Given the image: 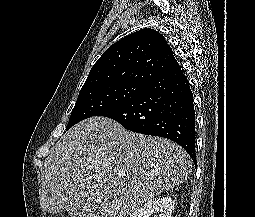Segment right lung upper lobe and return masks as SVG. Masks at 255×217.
Returning <instances> with one entry per match:
<instances>
[{"instance_id":"cb5924a9","label":"right lung upper lobe","mask_w":255,"mask_h":217,"mask_svg":"<svg viewBox=\"0 0 255 217\" xmlns=\"http://www.w3.org/2000/svg\"><path fill=\"white\" fill-rule=\"evenodd\" d=\"M180 69L163 35L141 29L111 45L94 64L81 91L111 84L148 85Z\"/></svg>"}]
</instances>
